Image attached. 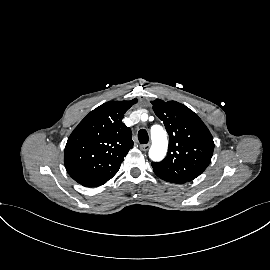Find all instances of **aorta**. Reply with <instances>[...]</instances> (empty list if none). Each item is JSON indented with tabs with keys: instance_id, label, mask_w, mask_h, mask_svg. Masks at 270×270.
Here are the masks:
<instances>
[{
	"instance_id": "obj_1",
	"label": "aorta",
	"mask_w": 270,
	"mask_h": 270,
	"mask_svg": "<svg viewBox=\"0 0 270 270\" xmlns=\"http://www.w3.org/2000/svg\"><path fill=\"white\" fill-rule=\"evenodd\" d=\"M151 139L149 157L153 161H161L167 153L168 141L166 133L160 125H154L151 128Z\"/></svg>"
}]
</instances>
